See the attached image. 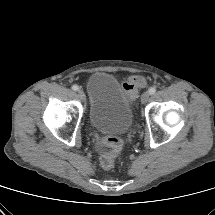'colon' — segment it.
Segmentation results:
<instances>
[{"label":"colon","instance_id":"colon-1","mask_svg":"<svg viewBox=\"0 0 215 215\" xmlns=\"http://www.w3.org/2000/svg\"><path fill=\"white\" fill-rule=\"evenodd\" d=\"M144 85V80L140 76H132L126 82L123 83L122 87L126 95L130 100H134L139 89ZM102 144L108 148V151L103 153L100 157V165L104 169H111L114 167L116 157L120 153L123 143L122 140L115 136H110L102 141Z\"/></svg>","mask_w":215,"mask_h":215}]
</instances>
